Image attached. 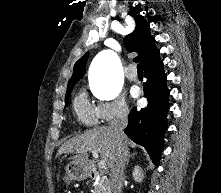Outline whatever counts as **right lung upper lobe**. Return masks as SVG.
I'll return each instance as SVG.
<instances>
[{
	"label": "right lung upper lobe",
	"mask_w": 221,
	"mask_h": 193,
	"mask_svg": "<svg viewBox=\"0 0 221 193\" xmlns=\"http://www.w3.org/2000/svg\"><path fill=\"white\" fill-rule=\"evenodd\" d=\"M135 22L136 28L124 38V45L129 52L138 53V57L134 60H139L143 63L145 71L161 62L159 58L160 51L155 46V39L150 35L149 24L139 16L135 18ZM88 55L89 53L87 52L75 63L73 75L69 80L68 86L75 85L83 77Z\"/></svg>",
	"instance_id": "obj_1"
}]
</instances>
